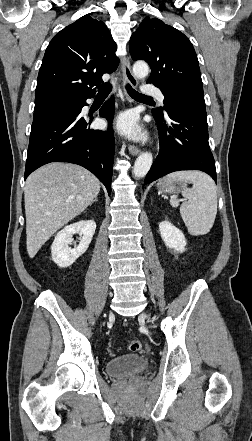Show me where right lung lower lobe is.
<instances>
[{
  "label": "right lung lower lobe",
  "mask_w": 252,
  "mask_h": 441,
  "mask_svg": "<svg viewBox=\"0 0 252 441\" xmlns=\"http://www.w3.org/2000/svg\"><path fill=\"white\" fill-rule=\"evenodd\" d=\"M94 95H62L53 98L58 106L34 112L25 168V179L40 166L50 162H70L91 171L111 193L114 160V135L111 121L114 100L100 109L108 122V130L86 128L88 122L80 116L86 99ZM91 123V121L89 122Z\"/></svg>",
  "instance_id": "right-lung-lower-lobe-1"
}]
</instances>
